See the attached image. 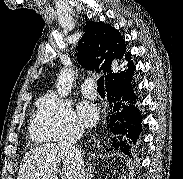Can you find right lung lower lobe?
I'll return each instance as SVG.
<instances>
[{
	"label": "right lung lower lobe",
	"mask_w": 183,
	"mask_h": 179,
	"mask_svg": "<svg viewBox=\"0 0 183 179\" xmlns=\"http://www.w3.org/2000/svg\"><path fill=\"white\" fill-rule=\"evenodd\" d=\"M134 67L120 76L117 79L112 80L111 82H108L107 85V99L109 101V104L111 107H113V110L116 112V115L113 114L111 116L107 117V129H110L111 132H113L116 135L123 134L125 135L128 132L127 137L131 138L132 142L135 143L138 139V136L141 132V114L139 110L130 105V106H122L120 101V98L123 96V101L131 100L136 101V96H133L132 94V74L134 71ZM123 110L119 112L121 109ZM116 120L121 121L116 122ZM125 120V121H123ZM113 143L111 145V149L113 150H122L125 154H129L130 146L125 141L118 142L116 138L112 139ZM131 142V141H129Z\"/></svg>",
	"instance_id": "98d812e1"
}]
</instances>
